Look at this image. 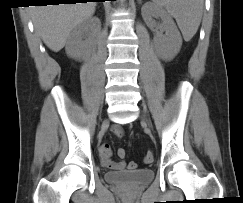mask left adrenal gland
Segmentation results:
<instances>
[{"instance_id": "obj_1", "label": "left adrenal gland", "mask_w": 243, "mask_h": 203, "mask_svg": "<svg viewBox=\"0 0 243 203\" xmlns=\"http://www.w3.org/2000/svg\"><path fill=\"white\" fill-rule=\"evenodd\" d=\"M138 3L141 4V0H138Z\"/></svg>"}]
</instances>
